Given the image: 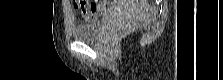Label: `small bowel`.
<instances>
[{
  "mask_svg": "<svg viewBox=\"0 0 223 80\" xmlns=\"http://www.w3.org/2000/svg\"><path fill=\"white\" fill-rule=\"evenodd\" d=\"M106 6H107V2L102 1L101 3H99L97 9L92 15H90L89 17H84V16L83 17L89 20L95 19L98 15L102 14L105 11Z\"/></svg>",
  "mask_w": 223,
  "mask_h": 80,
  "instance_id": "c3829d8e",
  "label": "small bowel"
}]
</instances>
